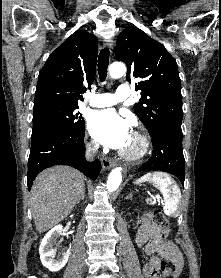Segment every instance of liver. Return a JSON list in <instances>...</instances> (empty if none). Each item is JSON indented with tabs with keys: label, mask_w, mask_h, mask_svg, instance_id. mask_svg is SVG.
I'll list each match as a JSON object with an SVG mask.
<instances>
[{
	"label": "liver",
	"mask_w": 221,
	"mask_h": 278,
	"mask_svg": "<svg viewBox=\"0 0 221 278\" xmlns=\"http://www.w3.org/2000/svg\"><path fill=\"white\" fill-rule=\"evenodd\" d=\"M84 189V176L68 166L41 172L30 191V209L38 232L43 233L64 220Z\"/></svg>",
	"instance_id": "1"
}]
</instances>
